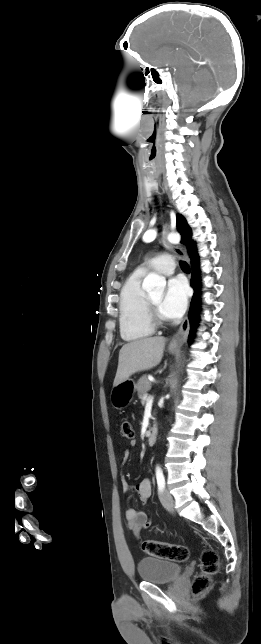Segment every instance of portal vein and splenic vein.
Instances as JSON below:
<instances>
[{"label": "portal vein and splenic vein", "instance_id": "obj_1", "mask_svg": "<svg viewBox=\"0 0 261 644\" xmlns=\"http://www.w3.org/2000/svg\"><path fill=\"white\" fill-rule=\"evenodd\" d=\"M149 398H150V397H149L147 394L143 396V400H145V401H146V400H149Z\"/></svg>", "mask_w": 261, "mask_h": 644}]
</instances>
